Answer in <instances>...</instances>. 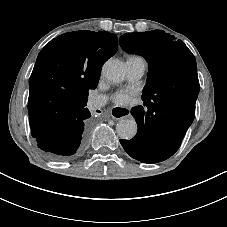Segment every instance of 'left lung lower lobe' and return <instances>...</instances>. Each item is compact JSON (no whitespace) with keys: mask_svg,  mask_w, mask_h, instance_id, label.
I'll return each mask as SVG.
<instances>
[{"mask_svg":"<svg viewBox=\"0 0 227 227\" xmlns=\"http://www.w3.org/2000/svg\"><path fill=\"white\" fill-rule=\"evenodd\" d=\"M199 85H187L173 97L144 100L132 108L138 132L131 140H120L125 151L143 163L171 157L192 124Z\"/></svg>","mask_w":227,"mask_h":227,"instance_id":"obj_1","label":"left lung lower lobe"}]
</instances>
